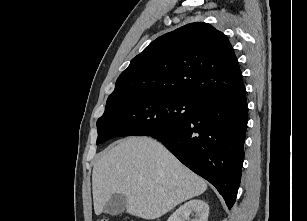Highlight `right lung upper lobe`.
<instances>
[{
	"mask_svg": "<svg viewBox=\"0 0 307 221\" xmlns=\"http://www.w3.org/2000/svg\"><path fill=\"white\" fill-rule=\"evenodd\" d=\"M244 88L227 37L207 23L196 22L157 38L134 57L106 103L160 94L198 104Z\"/></svg>",
	"mask_w": 307,
	"mask_h": 221,
	"instance_id": "obj_1",
	"label": "right lung upper lobe"
}]
</instances>
